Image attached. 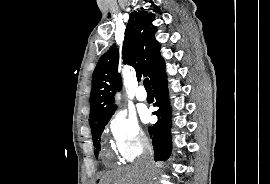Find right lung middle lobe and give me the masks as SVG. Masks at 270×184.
<instances>
[{
	"instance_id": "right-lung-middle-lobe-1",
	"label": "right lung middle lobe",
	"mask_w": 270,
	"mask_h": 184,
	"mask_svg": "<svg viewBox=\"0 0 270 184\" xmlns=\"http://www.w3.org/2000/svg\"><path fill=\"white\" fill-rule=\"evenodd\" d=\"M108 121H109V119L91 125L94 153H95L96 157H98V152L100 150V137H101L103 129H104L105 125L108 123Z\"/></svg>"
}]
</instances>
